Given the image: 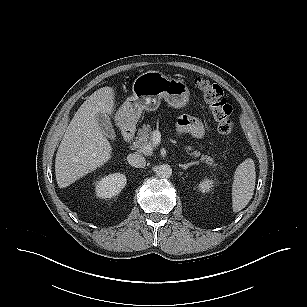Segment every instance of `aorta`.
Wrapping results in <instances>:
<instances>
[{
	"instance_id": "1",
	"label": "aorta",
	"mask_w": 307,
	"mask_h": 307,
	"mask_svg": "<svg viewBox=\"0 0 307 307\" xmlns=\"http://www.w3.org/2000/svg\"><path fill=\"white\" fill-rule=\"evenodd\" d=\"M156 174L161 179H168L172 175V168L168 164H162L157 166Z\"/></svg>"
}]
</instances>
